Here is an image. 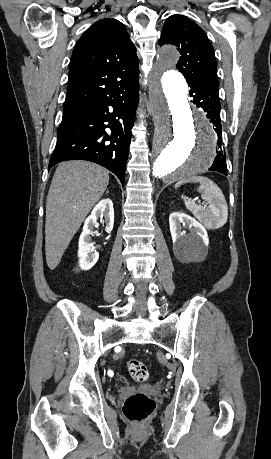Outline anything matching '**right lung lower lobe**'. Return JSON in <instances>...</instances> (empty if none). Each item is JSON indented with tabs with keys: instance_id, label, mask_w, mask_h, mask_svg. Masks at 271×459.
Returning a JSON list of instances; mask_svg holds the SVG:
<instances>
[{
	"instance_id": "obj_1",
	"label": "right lung lower lobe",
	"mask_w": 271,
	"mask_h": 459,
	"mask_svg": "<svg viewBox=\"0 0 271 459\" xmlns=\"http://www.w3.org/2000/svg\"><path fill=\"white\" fill-rule=\"evenodd\" d=\"M138 90L136 77L64 113L48 170L62 161L88 160L109 169L124 184Z\"/></svg>"
}]
</instances>
